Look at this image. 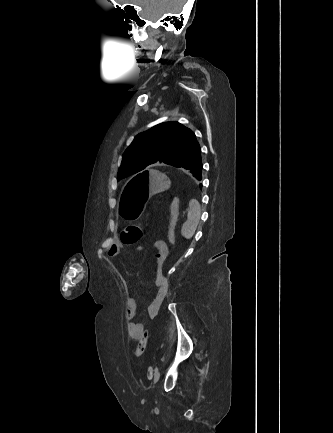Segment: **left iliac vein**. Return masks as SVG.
<instances>
[{
  "instance_id": "1",
  "label": "left iliac vein",
  "mask_w": 333,
  "mask_h": 433,
  "mask_svg": "<svg viewBox=\"0 0 333 433\" xmlns=\"http://www.w3.org/2000/svg\"><path fill=\"white\" fill-rule=\"evenodd\" d=\"M159 378H160V372L156 371L154 374V379H153L154 383H156L159 380Z\"/></svg>"
}]
</instances>
